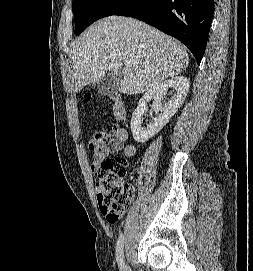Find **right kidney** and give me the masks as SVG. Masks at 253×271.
I'll return each mask as SVG.
<instances>
[{"label": "right kidney", "mask_w": 253, "mask_h": 271, "mask_svg": "<svg viewBox=\"0 0 253 271\" xmlns=\"http://www.w3.org/2000/svg\"><path fill=\"white\" fill-rule=\"evenodd\" d=\"M168 89L175 90L170 101L162 104V98ZM189 91V80L186 77H172L149 89L140 99L131 118V132L137 142H146L157 134L178 111ZM154 98L153 110L156 117L147 127L141 126V118L147 110V103Z\"/></svg>", "instance_id": "obj_1"}]
</instances>
